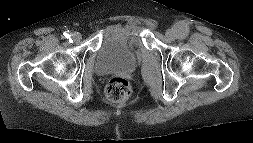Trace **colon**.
I'll return each mask as SVG.
<instances>
[{
    "instance_id": "1",
    "label": "colon",
    "mask_w": 253,
    "mask_h": 143,
    "mask_svg": "<svg viewBox=\"0 0 253 143\" xmlns=\"http://www.w3.org/2000/svg\"><path fill=\"white\" fill-rule=\"evenodd\" d=\"M105 93L107 99L111 102H124L131 96L132 86L127 79L115 77L108 82Z\"/></svg>"
}]
</instances>
